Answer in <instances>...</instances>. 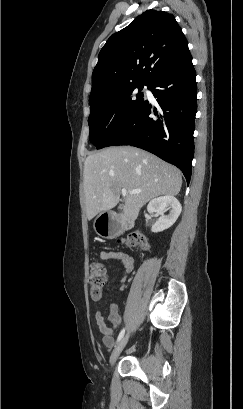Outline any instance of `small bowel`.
I'll use <instances>...</instances> for the list:
<instances>
[{"instance_id": "obj_1", "label": "small bowel", "mask_w": 243, "mask_h": 409, "mask_svg": "<svg viewBox=\"0 0 243 409\" xmlns=\"http://www.w3.org/2000/svg\"><path fill=\"white\" fill-rule=\"evenodd\" d=\"M99 257L103 260L115 262L121 265L123 269V276L120 282L123 284L126 281V276L133 271L134 265L132 258L121 251H103L100 253ZM123 290V286L120 287V291ZM96 322L102 334V342L106 347H111L114 343V329H108L105 324L104 316L101 307L98 308L96 315ZM110 321L112 322L114 328H117L122 323L121 318L118 314L117 307L112 305L110 308Z\"/></svg>"}]
</instances>
